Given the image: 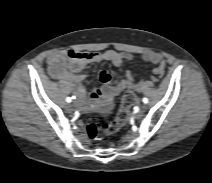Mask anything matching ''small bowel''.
I'll return each mask as SVG.
<instances>
[{
	"instance_id": "obj_1",
	"label": "small bowel",
	"mask_w": 212,
	"mask_h": 183,
	"mask_svg": "<svg viewBox=\"0 0 212 183\" xmlns=\"http://www.w3.org/2000/svg\"><path fill=\"white\" fill-rule=\"evenodd\" d=\"M144 61L150 62L156 67L154 73L161 75L165 69L163 57L156 52H145L142 55ZM133 55L129 52H117L106 50L104 52H80L76 50H65L54 52L48 57L49 71L53 78L64 81L73 87L74 93L78 99V107L85 110L88 106L86 100V89L81 84L85 75L80 72L91 63L110 62L116 67L123 64L124 61H130ZM102 85L95 88L90 93V99L94 102L102 98L111 99L119 95L126 88L140 89L130 71H127L124 79L115 80L107 71L100 73Z\"/></svg>"
}]
</instances>
